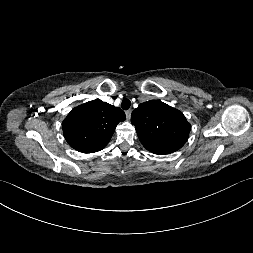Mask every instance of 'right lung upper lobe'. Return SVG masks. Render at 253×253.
<instances>
[{
  "instance_id": "obj_1",
  "label": "right lung upper lobe",
  "mask_w": 253,
  "mask_h": 253,
  "mask_svg": "<svg viewBox=\"0 0 253 253\" xmlns=\"http://www.w3.org/2000/svg\"><path fill=\"white\" fill-rule=\"evenodd\" d=\"M124 120V111L96 99L72 109L62 122V129L72 148L93 153L108 144L117 124Z\"/></svg>"
}]
</instances>
